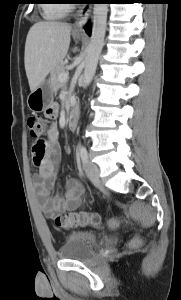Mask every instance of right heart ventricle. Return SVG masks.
Wrapping results in <instances>:
<instances>
[{
  "label": "right heart ventricle",
  "mask_w": 181,
  "mask_h": 300,
  "mask_svg": "<svg viewBox=\"0 0 181 300\" xmlns=\"http://www.w3.org/2000/svg\"><path fill=\"white\" fill-rule=\"evenodd\" d=\"M42 15L47 20L63 18L68 12V6L61 0H45L42 4Z\"/></svg>",
  "instance_id": "1"
}]
</instances>
